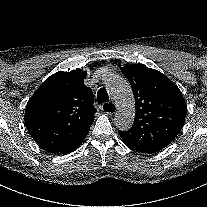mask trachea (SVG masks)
Segmentation results:
<instances>
[{
	"instance_id": "3493384b",
	"label": "trachea",
	"mask_w": 207,
	"mask_h": 207,
	"mask_svg": "<svg viewBox=\"0 0 207 207\" xmlns=\"http://www.w3.org/2000/svg\"><path fill=\"white\" fill-rule=\"evenodd\" d=\"M97 101H98L99 105L109 101V97H108V93H107L106 89H104V88L99 89V91L97 93ZM106 106H107V104L104 105V107H106Z\"/></svg>"
}]
</instances>
